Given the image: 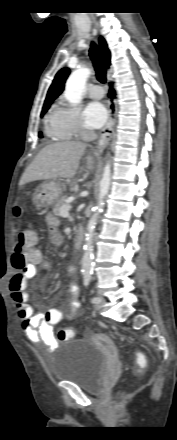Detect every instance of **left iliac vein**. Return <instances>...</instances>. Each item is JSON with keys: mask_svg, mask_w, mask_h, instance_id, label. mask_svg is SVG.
Returning <instances> with one entry per match:
<instances>
[{"mask_svg": "<svg viewBox=\"0 0 177 440\" xmlns=\"http://www.w3.org/2000/svg\"><path fill=\"white\" fill-rule=\"evenodd\" d=\"M98 298L100 299V301H99L98 303L95 304L96 309H100L101 306H102V304L105 303L104 298H102V297H98Z\"/></svg>", "mask_w": 177, "mask_h": 440, "instance_id": "left-iliac-vein-1", "label": "left iliac vein"}]
</instances>
